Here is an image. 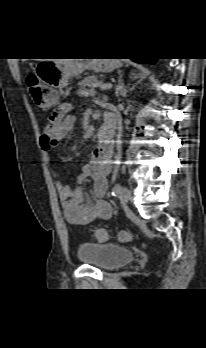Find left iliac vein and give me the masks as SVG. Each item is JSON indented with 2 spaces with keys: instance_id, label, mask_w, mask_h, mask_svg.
<instances>
[{
  "instance_id": "1",
  "label": "left iliac vein",
  "mask_w": 206,
  "mask_h": 348,
  "mask_svg": "<svg viewBox=\"0 0 206 348\" xmlns=\"http://www.w3.org/2000/svg\"><path fill=\"white\" fill-rule=\"evenodd\" d=\"M130 198H131V191L127 187L122 188L119 195L121 204H127Z\"/></svg>"
}]
</instances>
